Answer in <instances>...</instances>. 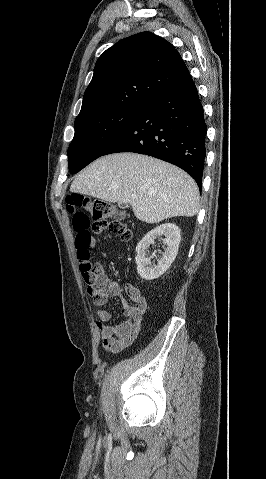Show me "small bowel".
Segmentation results:
<instances>
[{
	"label": "small bowel",
	"mask_w": 266,
	"mask_h": 479,
	"mask_svg": "<svg viewBox=\"0 0 266 479\" xmlns=\"http://www.w3.org/2000/svg\"><path fill=\"white\" fill-rule=\"evenodd\" d=\"M94 243L95 241L91 240V244ZM94 276L96 296L93 298V303L98 308L96 325L100 331L102 345L109 352H119L130 346L137 338L143 317L147 312V302L140 290L133 283H128L126 292L133 305L129 304L121 295L119 283L105 273L100 263L94 267ZM110 297L120 300L122 313L126 317L121 324H109L112 318L111 313L103 307Z\"/></svg>",
	"instance_id": "small-bowel-1"
}]
</instances>
